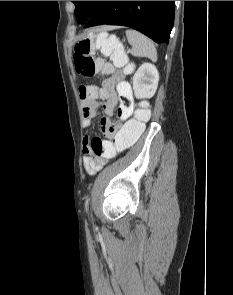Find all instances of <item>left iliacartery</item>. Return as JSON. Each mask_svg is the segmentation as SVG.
I'll return each mask as SVG.
<instances>
[{"mask_svg":"<svg viewBox=\"0 0 233 295\" xmlns=\"http://www.w3.org/2000/svg\"><path fill=\"white\" fill-rule=\"evenodd\" d=\"M88 202H89V199L87 198L86 199V202H85V209H86V211H88Z\"/></svg>","mask_w":233,"mask_h":295,"instance_id":"left-iliac-artery-1","label":"left iliac artery"}]
</instances>
